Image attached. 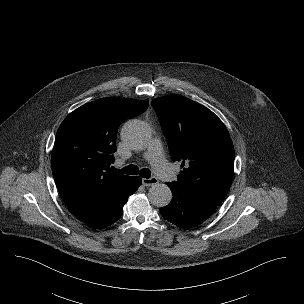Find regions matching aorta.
<instances>
[{
	"mask_svg": "<svg viewBox=\"0 0 304 304\" xmlns=\"http://www.w3.org/2000/svg\"><path fill=\"white\" fill-rule=\"evenodd\" d=\"M150 130L148 126L141 121L132 120L127 122L121 131L123 142L132 149H143L150 139ZM148 198L150 202L157 207L167 206L172 200L171 189L163 183L152 185L149 190Z\"/></svg>",
	"mask_w": 304,
	"mask_h": 304,
	"instance_id": "1",
	"label": "aorta"
}]
</instances>
